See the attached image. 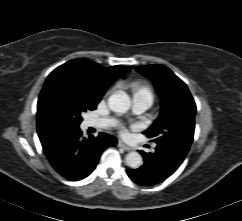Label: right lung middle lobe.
<instances>
[{"label":"right lung middle lobe","instance_id":"obj_1","mask_svg":"<svg viewBox=\"0 0 242 221\" xmlns=\"http://www.w3.org/2000/svg\"><path fill=\"white\" fill-rule=\"evenodd\" d=\"M99 100H88L81 94L57 89L49 96L47 105L51 116V125L58 129L74 130L79 128L81 115L94 110Z\"/></svg>","mask_w":242,"mask_h":221}]
</instances>
